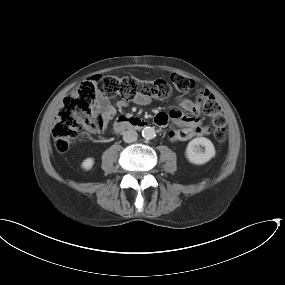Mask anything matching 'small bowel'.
<instances>
[{"mask_svg":"<svg viewBox=\"0 0 285 285\" xmlns=\"http://www.w3.org/2000/svg\"><path fill=\"white\" fill-rule=\"evenodd\" d=\"M135 102L141 105H146L150 102L148 97H138L135 99ZM117 108H124L128 105V102L124 99L117 101ZM178 105L184 111L192 114L193 116H183L177 110H172L166 115L168 119L176 123L180 128L172 129L169 132V136L178 141H187L196 136H202L205 133L200 126V120L198 115L200 113V106L187 98L181 99L178 101ZM95 108L101 114V117L110 121L116 114L117 110L114 105L108 100L105 95L98 94L95 101Z\"/></svg>","mask_w":285,"mask_h":285,"instance_id":"1","label":"small bowel"}]
</instances>
